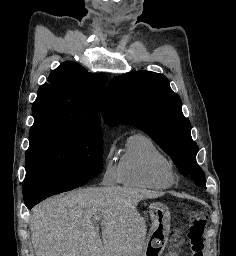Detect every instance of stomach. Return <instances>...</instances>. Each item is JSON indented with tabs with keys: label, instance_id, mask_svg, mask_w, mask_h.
I'll list each match as a JSON object with an SVG mask.
<instances>
[{
	"label": "stomach",
	"instance_id": "1",
	"mask_svg": "<svg viewBox=\"0 0 236 256\" xmlns=\"http://www.w3.org/2000/svg\"><path fill=\"white\" fill-rule=\"evenodd\" d=\"M149 214L152 228L139 256H161L168 241L170 212L166 205L156 202L149 206Z\"/></svg>",
	"mask_w": 236,
	"mask_h": 256
}]
</instances>
